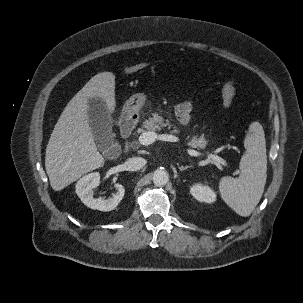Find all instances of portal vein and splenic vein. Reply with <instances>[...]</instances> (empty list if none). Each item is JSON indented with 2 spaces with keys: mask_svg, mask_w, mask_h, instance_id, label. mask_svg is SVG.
I'll return each instance as SVG.
<instances>
[{
  "mask_svg": "<svg viewBox=\"0 0 303 303\" xmlns=\"http://www.w3.org/2000/svg\"><path fill=\"white\" fill-rule=\"evenodd\" d=\"M156 140L178 142L179 138L174 135H169V134L157 135L155 132H144L139 136V139H138L139 143L144 146L150 145V144L154 143ZM187 153L191 156L201 155V153H199L193 149H190V148L187 149ZM208 157L210 159H212L213 161L218 162L225 167H228L227 162L223 158H221L217 155H214V154H208ZM235 173H237V172H235Z\"/></svg>",
  "mask_w": 303,
  "mask_h": 303,
  "instance_id": "18ae733b",
  "label": "portal vein and splenic vein"
}]
</instances>
